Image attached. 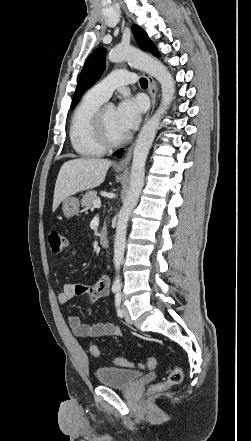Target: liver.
<instances>
[{
	"label": "liver",
	"mask_w": 251,
	"mask_h": 441,
	"mask_svg": "<svg viewBox=\"0 0 251 441\" xmlns=\"http://www.w3.org/2000/svg\"><path fill=\"white\" fill-rule=\"evenodd\" d=\"M111 165L112 161L100 158H80L65 162L55 184L53 211L67 197L102 184Z\"/></svg>",
	"instance_id": "6515ba94"
}]
</instances>
